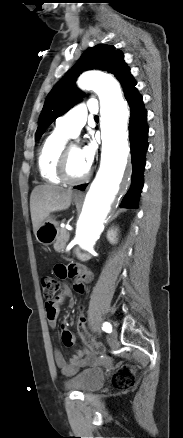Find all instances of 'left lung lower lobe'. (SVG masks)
<instances>
[{"instance_id":"left-lung-lower-lobe-1","label":"left lung lower lobe","mask_w":183,"mask_h":438,"mask_svg":"<svg viewBox=\"0 0 183 438\" xmlns=\"http://www.w3.org/2000/svg\"><path fill=\"white\" fill-rule=\"evenodd\" d=\"M134 78L123 88L125 98L130 106L129 140L132 158V181L129 191L124 196L120 207L138 208L137 202L143 187V170L145 154L148 149L147 112L144 108L142 96L135 87ZM86 184L75 186V189L84 190Z\"/></svg>"}]
</instances>
